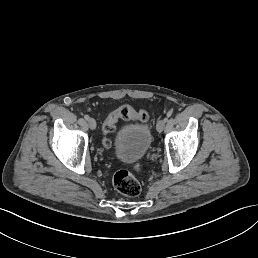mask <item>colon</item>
<instances>
[{"label":"colon","mask_w":258,"mask_h":258,"mask_svg":"<svg viewBox=\"0 0 258 258\" xmlns=\"http://www.w3.org/2000/svg\"><path fill=\"white\" fill-rule=\"evenodd\" d=\"M148 118L144 110H135L128 104L121 105L116 111L112 112L103 125V132L111 134L116 130V125L119 120L128 122L131 120L144 122ZM105 146H110L109 139H104ZM140 166L136 165L135 170H139ZM115 189L127 197H136L141 192V184L129 169H121L117 171L113 177Z\"/></svg>","instance_id":"1"}]
</instances>
